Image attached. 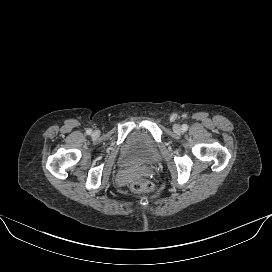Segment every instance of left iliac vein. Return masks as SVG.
<instances>
[{"instance_id": "4c4485c4", "label": "left iliac vein", "mask_w": 272, "mask_h": 272, "mask_svg": "<svg viewBox=\"0 0 272 272\" xmlns=\"http://www.w3.org/2000/svg\"><path fill=\"white\" fill-rule=\"evenodd\" d=\"M173 130H174V132H176V133H180V132L182 131V128H181L180 125L175 124V125H173Z\"/></svg>"}]
</instances>
